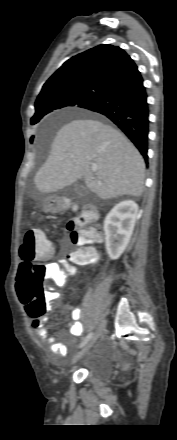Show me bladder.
Here are the masks:
<instances>
[{
  "label": "bladder",
  "mask_w": 177,
  "mask_h": 440,
  "mask_svg": "<svg viewBox=\"0 0 177 440\" xmlns=\"http://www.w3.org/2000/svg\"><path fill=\"white\" fill-rule=\"evenodd\" d=\"M89 376L97 382L106 381L113 372V364L110 359L91 355L86 361Z\"/></svg>",
  "instance_id": "obj_1"
}]
</instances>
